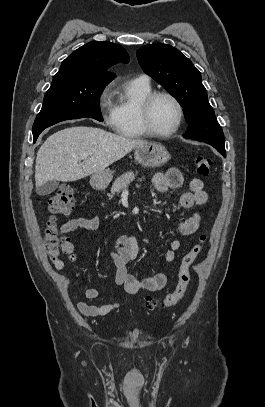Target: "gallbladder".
<instances>
[{
	"label": "gallbladder",
	"mask_w": 265,
	"mask_h": 407,
	"mask_svg": "<svg viewBox=\"0 0 265 407\" xmlns=\"http://www.w3.org/2000/svg\"><path fill=\"white\" fill-rule=\"evenodd\" d=\"M59 183L56 180L49 181L36 189L40 196H46L53 193L58 188Z\"/></svg>",
	"instance_id": "1"
}]
</instances>
